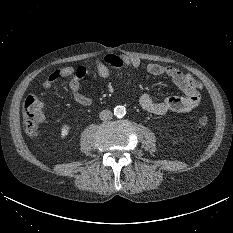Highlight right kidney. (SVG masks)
Masks as SVG:
<instances>
[{"label":"right kidney","mask_w":233,"mask_h":233,"mask_svg":"<svg viewBox=\"0 0 233 233\" xmlns=\"http://www.w3.org/2000/svg\"><path fill=\"white\" fill-rule=\"evenodd\" d=\"M69 130H70V126L63 125L62 128H61V137L65 138L68 135Z\"/></svg>","instance_id":"1"}]
</instances>
